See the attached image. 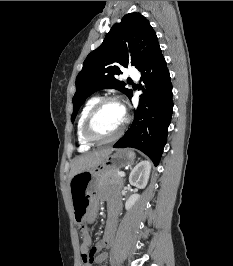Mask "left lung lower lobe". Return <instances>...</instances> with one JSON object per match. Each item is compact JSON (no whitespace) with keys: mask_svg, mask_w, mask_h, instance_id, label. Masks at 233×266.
<instances>
[{"mask_svg":"<svg viewBox=\"0 0 233 266\" xmlns=\"http://www.w3.org/2000/svg\"><path fill=\"white\" fill-rule=\"evenodd\" d=\"M138 70L146 84L145 96L140 97L130 129L113 147L137 148L157 166L166 144L173 109L170 74L159 45Z\"/></svg>","mask_w":233,"mask_h":266,"instance_id":"1","label":"left lung lower lobe"}]
</instances>
